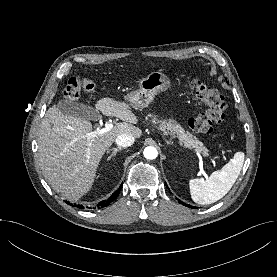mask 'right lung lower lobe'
Masks as SVG:
<instances>
[{
    "label": "right lung lower lobe",
    "mask_w": 277,
    "mask_h": 277,
    "mask_svg": "<svg viewBox=\"0 0 277 277\" xmlns=\"http://www.w3.org/2000/svg\"><path fill=\"white\" fill-rule=\"evenodd\" d=\"M120 189H121V186H120L119 190H118V191H115V192L113 193V195H112L108 200H104V201L100 202V203L97 205V207H98V208H102V207L108 206V205L119 195ZM67 203L70 204L69 202H67ZM71 206L77 207V208H79V209H84V207H83L82 205L71 204Z\"/></svg>",
    "instance_id": "98d812e1"
}]
</instances>
